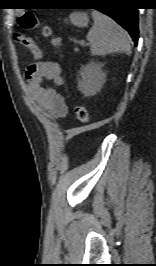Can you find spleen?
I'll return each instance as SVG.
<instances>
[{
  "label": "spleen",
  "mask_w": 156,
  "mask_h": 266,
  "mask_svg": "<svg viewBox=\"0 0 156 266\" xmlns=\"http://www.w3.org/2000/svg\"><path fill=\"white\" fill-rule=\"evenodd\" d=\"M94 24L86 38L90 42V51L94 56L111 53L131 52V39L128 33L107 15L94 10Z\"/></svg>",
  "instance_id": "spleen-1"
}]
</instances>
